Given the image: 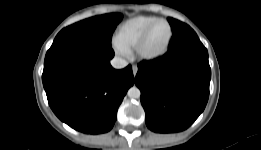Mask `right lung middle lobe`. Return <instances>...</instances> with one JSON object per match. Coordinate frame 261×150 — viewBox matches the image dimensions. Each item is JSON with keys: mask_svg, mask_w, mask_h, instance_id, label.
Returning a JSON list of instances; mask_svg holds the SVG:
<instances>
[{"mask_svg": "<svg viewBox=\"0 0 261 150\" xmlns=\"http://www.w3.org/2000/svg\"><path fill=\"white\" fill-rule=\"evenodd\" d=\"M121 19L122 15L119 13L85 19L62 29L55 37L52 46L64 42H83L110 46L112 33Z\"/></svg>", "mask_w": 261, "mask_h": 150, "instance_id": "right-lung-middle-lobe-1", "label": "right lung middle lobe"}]
</instances>
